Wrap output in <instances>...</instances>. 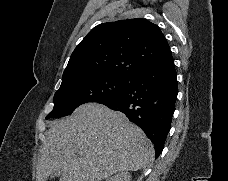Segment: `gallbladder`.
Returning a JSON list of instances; mask_svg holds the SVG:
<instances>
[{"mask_svg": "<svg viewBox=\"0 0 228 181\" xmlns=\"http://www.w3.org/2000/svg\"><path fill=\"white\" fill-rule=\"evenodd\" d=\"M59 175H60V173H52L50 179H52V177H59ZM46 181H47V179H46Z\"/></svg>", "mask_w": 228, "mask_h": 181, "instance_id": "1", "label": "gallbladder"}]
</instances>
